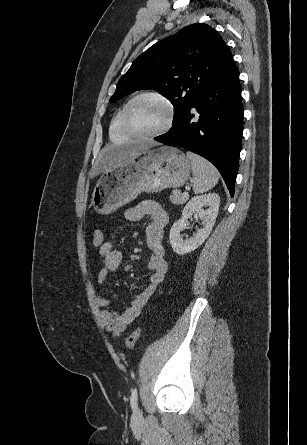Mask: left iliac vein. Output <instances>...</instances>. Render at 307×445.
Masks as SVG:
<instances>
[{
  "mask_svg": "<svg viewBox=\"0 0 307 445\" xmlns=\"http://www.w3.org/2000/svg\"><path fill=\"white\" fill-rule=\"evenodd\" d=\"M141 417H142L141 411L138 408H136L133 413V419L139 420V419H141Z\"/></svg>",
  "mask_w": 307,
  "mask_h": 445,
  "instance_id": "left-iliac-vein-1",
  "label": "left iliac vein"
}]
</instances>
